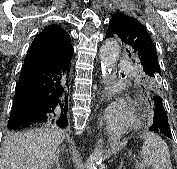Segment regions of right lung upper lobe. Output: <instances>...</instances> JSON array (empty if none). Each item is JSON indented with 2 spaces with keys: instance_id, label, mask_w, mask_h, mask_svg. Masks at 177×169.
Returning <instances> with one entry per match:
<instances>
[{
  "instance_id": "obj_1",
  "label": "right lung upper lobe",
  "mask_w": 177,
  "mask_h": 169,
  "mask_svg": "<svg viewBox=\"0 0 177 169\" xmlns=\"http://www.w3.org/2000/svg\"><path fill=\"white\" fill-rule=\"evenodd\" d=\"M73 54L70 36L60 26L45 27L36 35L26 58H38L48 62L67 64Z\"/></svg>"
}]
</instances>
